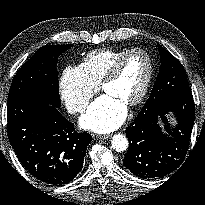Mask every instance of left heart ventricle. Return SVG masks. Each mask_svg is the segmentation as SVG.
I'll return each mask as SVG.
<instances>
[{
  "label": "left heart ventricle",
  "mask_w": 205,
  "mask_h": 205,
  "mask_svg": "<svg viewBox=\"0 0 205 205\" xmlns=\"http://www.w3.org/2000/svg\"><path fill=\"white\" fill-rule=\"evenodd\" d=\"M148 69L149 62L146 56L134 54L123 63L118 77L105 85L102 91L126 105L140 93Z\"/></svg>",
  "instance_id": "obj_1"
}]
</instances>
